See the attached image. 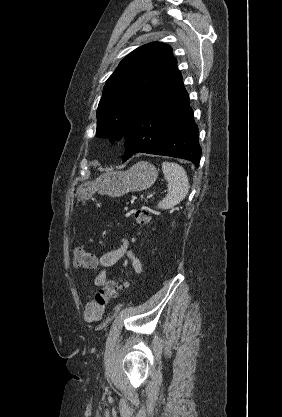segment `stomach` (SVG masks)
I'll use <instances>...</instances> for the list:
<instances>
[{"mask_svg": "<svg viewBox=\"0 0 282 417\" xmlns=\"http://www.w3.org/2000/svg\"><path fill=\"white\" fill-rule=\"evenodd\" d=\"M158 170L151 162L140 160L128 170H107L95 180L80 184L77 188L79 200H88L95 192L108 196H123L134 190H145L154 184Z\"/></svg>", "mask_w": 282, "mask_h": 417, "instance_id": "stomach-1", "label": "stomach"}]
</instances>
